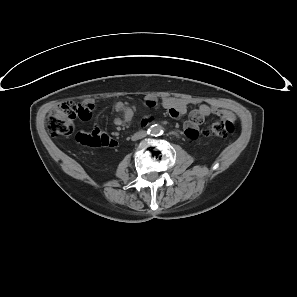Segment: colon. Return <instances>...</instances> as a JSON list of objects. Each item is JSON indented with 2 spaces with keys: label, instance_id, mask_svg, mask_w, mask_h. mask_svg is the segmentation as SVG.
<instances>
[{
  "label": "colon",
  "instance_id": "obj_1",
  "mask_svg": "<svg viewBox=\"0 0 297 297\" xmlns=\"http://www.w3.org/2000/svg\"><path fill=\"white\" fill-rule=\"evenodd\" d=\"M93 105L89 103H75L72 101L57 105L48 115L46 127L53 135H70L74 129V120L87 121L91 118ZM235 130L232 119L221 114L206 131L209 137L226 138ZM77 141L92 147H114L116 142L104 132L95 129L89 133H79Z\"/></svg>",
  "mask_w": 297,
  "mask_h": 297
}]
</instances>
